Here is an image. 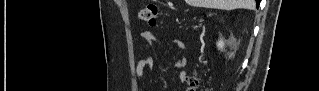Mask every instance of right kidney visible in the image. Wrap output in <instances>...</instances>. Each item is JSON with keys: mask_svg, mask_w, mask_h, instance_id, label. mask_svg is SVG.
<instances>
[{"mask_svg": "<svg viewBox=\"0 0 319 91\" xmlns=\"http://www.w3.org/2000/svg\"><path fill=\"white\" fill-rule=\"evenodd\" d=\"M228 44H231V42L229 41ZM217 47L219 50L223 51L224 48H225V41L223 39H220L218 42H217ZM234 56V53H230L229 54V57H232Z\"/></svg>", "mask_w": 319, "mask_h": 91, "instance_id": "ca27d5eb", "label": "right kidney"}]
</instances>
